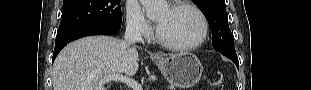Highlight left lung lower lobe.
Returning <instances> with one entry per match:
<instances>
[{"label": "left lung lower lobe", "instance_id": "0a47b994", "mask_svg": "<svg viewBox=\"0 0 311 90\" xmlns=\"http://www.w3.org/2000/svg\"><path fill=\"white\" fill-rule=\"evenodd\" d=\"M222 53V52H220ZM223 55H225L226 57L230 58L235 64L237 67H239V62H238V58L236 55H229V54H225V53H222Z\"/></svg>", "mask_w": 311, "mask_h": 90}]
</instances>
